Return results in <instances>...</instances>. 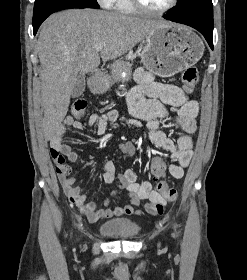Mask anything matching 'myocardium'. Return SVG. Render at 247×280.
I'll return each instance as SVG.
<instances>
[{
    "label": "myocardium",
    "mask_w": 247,
    "mask_h": 280,
    "mask_svg": "<svg viewBox=\"0 0 247 280\" xmlns=\"http://www.w3.org/2000/svg\"><path fill=\"white\" fill-rule=\"evenodd\" d=\"M130 1L136 10L149 15H163L165 13H168L172 9H174L178 4V0H171L170 3L163 8L151 9L146 7L141 0H130Z\"/></svg>",
    "instance_id": "1"
}]
</instances>
